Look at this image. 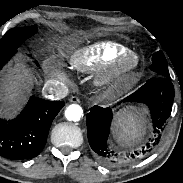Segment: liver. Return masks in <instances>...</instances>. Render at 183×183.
Instances as JSON below:
<instances>
[{"instance_id":"obj_1","label":"liver","mask_w":183,"mask_h":183,"mask_svg":"<svg viewBox=\"0 0 183 183\" xmlns=\"http://www.w3.org/2000/svg\"><path fill=\"white\" fill-rule=\"evenodd\" d=\"M31 74L24 63L18 60L0 80V103L5 112L14 111L23 100L24 90L31 84Z\"/></svg>"}]
</instances>
